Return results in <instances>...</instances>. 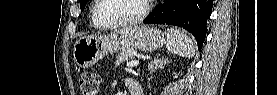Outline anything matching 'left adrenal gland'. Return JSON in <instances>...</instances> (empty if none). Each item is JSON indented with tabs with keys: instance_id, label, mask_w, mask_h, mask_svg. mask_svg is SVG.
I'll return each instance as SVG.
<instances>
[{
	"instance_id": "left-adrenal-gland-1",
	"label": "left adrenal gland",
	"mask_w": 277,
	"mask_h": 95,
	"mask_svg": "<svg viewBox=\"0 0 277 95\" xmlns=\"http://www.w3.org/2000/svg\"><path fill=\"white\" fill-rule=\"evenodd\" d=\"M168 61V59H161V60H158V59H154V61H151L149 66L156 69L158 67H161L163 66L164 64H166V62Z\"/></svg>"
}]
</instances>
